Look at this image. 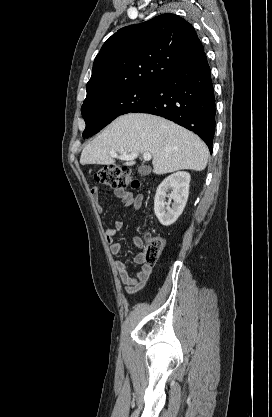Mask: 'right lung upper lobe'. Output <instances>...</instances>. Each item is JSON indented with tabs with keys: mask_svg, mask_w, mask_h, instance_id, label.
Segmentation results:
<instances>
[{
	"mask_svg": "<svg viewBox=\"0 0 272 417\" xmlns=\"http://www.w3.org/2000/svg\"><path fill=\"white\" fill-rule=\"evenodd\" d=\"M202 52L195 29L175 14L121 28L96 56L84 102L134 86L159 84Z\"/></svg>",
	"mask_w": 272,
	"mask_h": 417,
	"instance_id": "cb5924a9",
	"label": "right lung upper lobe"
}]
</instances>
